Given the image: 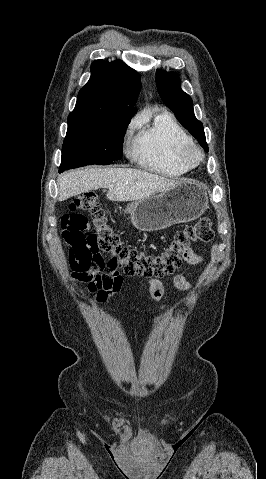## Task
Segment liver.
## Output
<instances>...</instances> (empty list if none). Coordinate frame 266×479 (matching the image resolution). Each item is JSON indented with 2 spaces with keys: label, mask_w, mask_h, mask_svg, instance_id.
I'll return each mask as SVG.
<instances>
[{
  "label": "liver",
  "mask_w": 266,
  "mask_h": 479,
  "mask_svg": "<svg viewBox=\"0 0 266 479\" xmlns=\"http://www.w3.org/2000/svg\"><path fill=\"white\" fill-rule=\"evenodd\" d=\"M179 183L137 169L85 168L59 176L58 200L65 201L84 192L108 188L107 198L111 201H137Z\"/></svg>",
  "instance_id": "1"
}]
</instances>
